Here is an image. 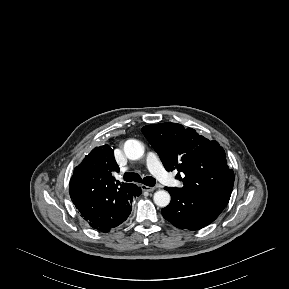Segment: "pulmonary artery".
Segmentation results:
<instances>
[{"label": "pulmonary artery", "mask_w": 289, "mask_h": 289, "mask_svg": "<svg viewBox=\"0 0 289 289\" xmlns=\"http://www.w3.org/2000/svg\"><path fill=\"white\" fill-rule=\"evenodd\" d=\"M146 165L149 171L163 183H169L170 177L162 166L159 158L154 152H149L145 158ZM128 168H123L122 171H127Z\"/></svg>", "instance_id": "1"}]
</instances>
